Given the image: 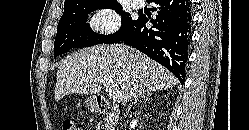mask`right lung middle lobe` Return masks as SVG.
I'll return each instance as SVG.
<instances>
[{
    "instance_id": "obj_1",
    "label": "right lung middle lobe",
    "mask_w": 249,
    "mask_h": 130,
    "mask_svg": "<svg viewBox=\"0 0 249 130\" xmlns=\"http://www.w3.org/2000/svg\"><path fill=\"white\" fill-rule=\"evenodd\" d=\"M99 8L113 9L122 16V25L114 34H97L86 23L88 14ZM136 21L131 18L130 14L122 10V6L118 1L96 3L79 10L64 9L63 16L58 23L54 56L62 55L71 48L89 47L102 43H117Z\"/></svg>"
}]
</instances>
